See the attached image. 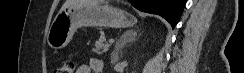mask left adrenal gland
Segmentation results:
<instances>
[{"label": "left adrenal gland", "instance_id": "left-adrenal-gland-1", "mask_svg": "<svg viewBox=\"0 0 244 73\" xmlns=\"http://www.w3.org/2000/svg\"><path fill=\"white\" fill-rule=\"evenodd\" d=\"M137 32L134 30L126 31L123 35H121L120 39L117 40L115 45L114 54L117 56L121 53V50L125 47L127 43L133 42L136 40Z\"/></svg>", "mask_w": 244, "mask_h": 73}]
</instances>
